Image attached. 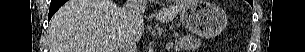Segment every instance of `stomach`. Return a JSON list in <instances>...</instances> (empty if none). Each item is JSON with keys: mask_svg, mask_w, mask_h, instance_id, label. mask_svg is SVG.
Instances as JSON below:
<instances>
[{"mask_svg": "<svg viewBox=\"0 0 305 52\" xmlns=\"http://www.w3.org/2000/svg\"><path fill=\"white\" fill-rule=\"evenodd\" d=\"M180 21L194 34L214 37L226 27L227 16L215 3L194 0L180 12Z\"/></svg>", "mask_w": 305, "mask_h": 52, "instance_id": "1", "label": "stomach"}]
</instances>
